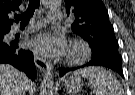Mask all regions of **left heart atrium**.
<instances>
[{"instance_id": "left-heart-atrium-1", "label": "left heart atrium", "mask_w": 135, "mask_h": 95, "mask_svg": "<svg viewBox=\"0 0 135 95\" xmlns=\"http://www.w3.org/2000/svg\"><path fill=\"white\" fill-rule=\"evenodd\" d=\"M35 54L44 57H61L67 51L65 38L54 33H42L29 42Z\"/></svg>"}]
</instances>
